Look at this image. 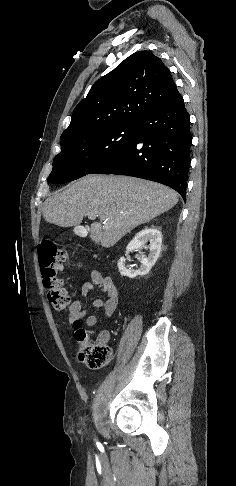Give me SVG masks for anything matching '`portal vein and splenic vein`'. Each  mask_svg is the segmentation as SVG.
<instances>
[{
	"instance_id": "obj_1",
	"label": "portal vein and splenic vein",
	"mask_w": 236,
	"mask_h": 486,
	"mask_svg": "<svg viewBox=\"0 0 236 486\" xmlns=\"http://www.w3.org/2000/svg\"><path fill=\"white\" fill-rule=\"evenodd\" d=\"M87 216H88L89 219H95L96 217H98V215L93 214V213H87Z\"/></svg>"
}]
</instances>
